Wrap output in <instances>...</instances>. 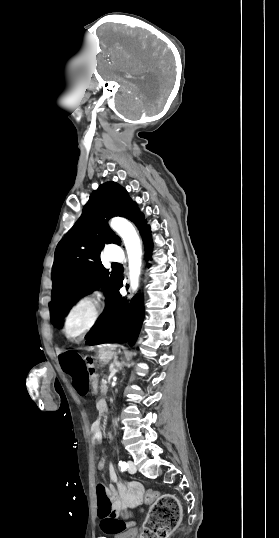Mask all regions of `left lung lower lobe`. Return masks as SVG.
<instances>
[{"mask_svg": "<svg viewBox=\"0 0 279 538\" xmlns=\"http://www.w3.org/2000/svg\"><path fill=\"white\" fill-rule=\"evenodd\" d=\"M141 235L145 244L146 260H151L153 242L149 225L143 229ZM147 266L149 267L150 264ZM121 287L122 280L119 277L113 295L116 308L102 328L90 336H85L88 345L124 342L133 345L136 341L144 319L142 296L139 295L128 303L126 298H122L119 293Z\"/></svg>", "mask_w": 279, "mask_h": 538, "instance_id": "1", "label": "left lung lower lobe"}]
</instances>
